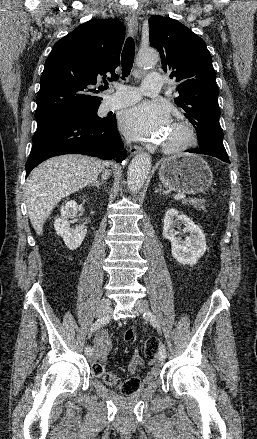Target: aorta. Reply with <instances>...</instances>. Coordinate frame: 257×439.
Masks as SVG:
<instances>
[{
	"label": "aorta",
	"instance_id": "1",
	"mask_svg": "<svg viewBox=\"0 0 257 439\" xmlns=\"http://www.w3.org/2000/svg\"><path fill=\"white\" fill-rule=\"evenodd\" d=\"M158 53L153 49L140 50L137 64L146 68L155 65L158 61ZM151 157L148 153H140L131 161L127 172V184L132 192L140 190L150 172Z\"/></svg>",
	"mask_w": 257,
	"mask_h": 439
}]
</instances>
